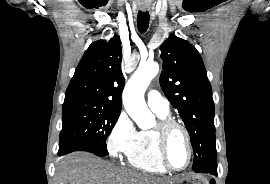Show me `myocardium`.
Masks as SVG:
<instances>
[{"label": "myocardium", "mask_w": 270, "mask_h": 184, "mask_svg": "<svg viewBox=\"0 0 270 184\" xmlns=\"http://www.w3.org/2000/svg\"><path fill=\"white\" fill-rule=\"evenodd\" d=\"M174 130H180L186 139V144L188 148V160L187 163L181 167L176 168L170 164L167 157V148H168V142L170 135ZM155 137H156V144H157V151L158 156L161 164L169 171L172 172H181L186 170L192 163L193 159V146L190 134L187 130V128L178 122L177 120L173 118H162L158 124L156 125L155 129L153 130Z\"/></svg>", "instance_id": "obj_1"}]
</instances>
